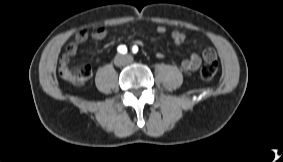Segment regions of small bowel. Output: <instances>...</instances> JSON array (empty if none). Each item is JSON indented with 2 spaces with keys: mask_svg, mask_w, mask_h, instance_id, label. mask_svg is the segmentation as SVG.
I'll return each mask as SVG.
<instances>
[{
  "mask_svg": "<svg viewBox=\"0 0 283 162\" xmlns=\"http://www.w3.org/2000/svg\"><path fill=\"white\" fill-rule=\"evenodd\" d=\"M156 31L159 34H165L166 33V28L162 25H158L156 27ZM107 34V31L104 27H99L97 29H95L92 33H91V37L95 40H101L103 39ZM89 37V34L86 31H79L76 35L75 38L72 42L69 43V45L67 46V49L65 51V53L62 55L60 63H65L67 64L69 62V60L74 57L78 51V47L81 43H83L84 41H86ZM171 39L175 44H181L185 41L186 36L184 33L178 31V30H174L171 32ZM136 44L141 45L142 42L139 40L134 41ZM194 44L199 47L200 49H202V55H200L199 53H192L190 54V56L184 60H182L180 66L181 68L186 71V72H195L199 66L202 63V60L205 61L207 55L209 53H212L215 57V53L213 50L211 49H205L203 48V44L200 40L195 39L194 40ZM157 58H162L163 55L162 53H157L156 54Z\"/></svg>",
  "mask_w": 283,
  "mask_h": 162,
  "instance_id": "obj_1",
  "label": "small bowel"
}]
</instances>
